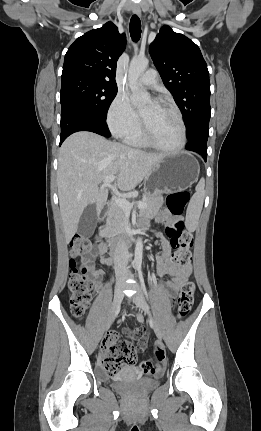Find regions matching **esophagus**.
I'll list each match as a JSON object with an SVG mask.
<instances>
[{
    "instance_id": "1",
    "label": "esophagus",
    "mask_w": 261,
    "mask_h": 431,
    "mask_svg": "<svg viewBox=\"0 0 261 431\" xmlns=\"http://www.w3.org/2000/svg\"><path fill=\"white\" fill-rule=\"evenodd\" d=\"M132 10L135 14H137L138 16H141V9L138 5H134Z\"/></svg>"
}]
</instances>
